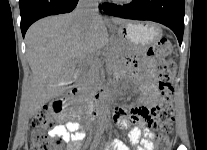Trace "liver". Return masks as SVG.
Listing matches in <instances>:
<instances>
[{"instance_id":"obj_1","label":"liver","mask_w":207,"mask_h":150,"mask_svg":"<svg viewBox=\"0 0 207 150\" xmlns=\"http://www.w3.org/2000/svg\"><path fill=\"white\" fill-rule=\"evenodd\" d=\"M112 22L120 25L128 21L113 18ZM25 42L32 74L21 105L28 119L74 81L76 64H91L95 54L108 46L109 34L100 15L84 25L72 12L34 23Z\"/></svg>"}]
</instances>
